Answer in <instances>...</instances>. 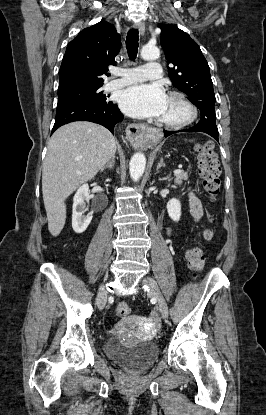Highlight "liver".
Wrapping results in <instances>:
<instances>
[{
	"mask_svg": "<svg viewBox=\"0 0 266 415\" xmlns=\"http://www.w3.org/2000/svg\"><path fill=\"white\" fill-rule=\"evenodd\" d=\"M116 153L114 136L86 121L57 129L48 143L42 169V193L48 230L58 236L66 221V198L91 180Z\"/></svg>",
	"mask_w": 266,
	"mask_h": 415,
	"instance_id": "6515ba94",
	"label": "liver"
}]
</instances>
